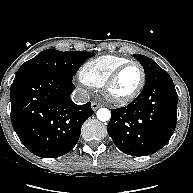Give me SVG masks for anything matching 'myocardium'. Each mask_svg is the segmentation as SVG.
<instances>
[{"instance_id":"f54148a6","label":"myocardium","mask_w":193,"mask_h":193,"mask_svg":"<svg viewBox=\"0 0 193 193\" xmlns=\"http://www.w3.org/2000/svg\"><path fill=\"white\" fill-rule=\"evenodd\" d=\"M130 66H136L140 70L141 78H140V82H139L138 86L136 87V89L132 93H130L127 96L118 97V96L113 95L112 88H113L117 78L126 68H128ZM145 82H146V74H145V70H144L143 66L137 61H128V62L120 65L119 67H117L108 76V78L106 79V81L104 82V84L102 86V92H103L105 99L108 102H110L114 105H117V106H122V105L129 104L130 102H132L133 100H135L139 96V94L141 93V91L143 90V88L145 86Z\"/></svg>"}]
</instances>
